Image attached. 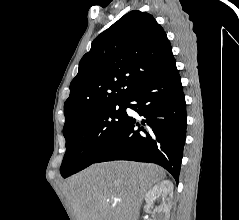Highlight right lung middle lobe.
<instances>
[{
  "label": "right lung middle lobe",
  "mask_w": 239,
  "mask_h": 220,
  "mask_svg": "<svg viewBox=\"0 0 239 220\" xmlns=\"http://www.w3.org/2000/svg\"><path fill=\"white\" fill-rule=\"evenodd\" d=\"M125 102L96 109L63 130L66 153L60 168L66 178L94 163L122 127Z\"/></svg>",
  "instance_id": "dd1d6c3e"
}]
</instances>
